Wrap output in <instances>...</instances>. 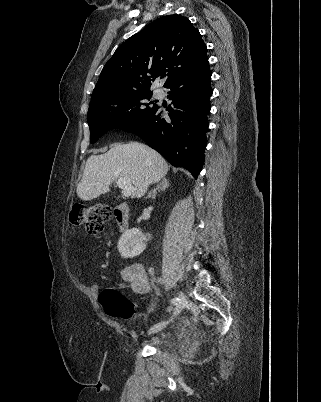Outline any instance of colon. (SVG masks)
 Masks as SVG:
<instances>
[{
  "label": "colon",
  "instance_id": "colon-1",
  "mask_svg": "<svg viewBox=\"0 0 321 402\" xmlns=\"http://www.w3.org/2000/svg\"><path fill=\"white\" fill-rule=\"evenodd\" d=\"M112 218V211L104 205L75 204L69 213V223L73 227L84 226L91 235H99L104 226ZM99 302L104 313L115 319L128 320L133 315L130 300L116 289H105L101 292Z\"/></svg>",
  "mask_w": 321,
  "mask_h": 402
}]
</instances>
